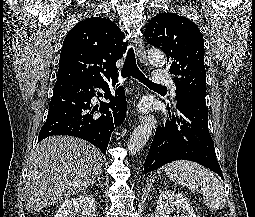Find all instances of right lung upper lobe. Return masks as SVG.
Wrapping results in <instances>:
<instances>
[{"label":"right lung upper lobe","mask_w":255,"mask_h":217,"mask_svg":"<svg viewBox=\"0 0 255 217\" xmlns=\"http://www.w3.org/2000/svg\"><path fill=\"white\" fill-rule=\"evenodd\" d=\"M123 37L120 28L106 18L91 17L75 25L63 41L56 82L116 78V61L128 44Z\"/></svg>","instance_id":"obj_1"}]
</instances>
